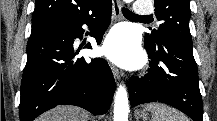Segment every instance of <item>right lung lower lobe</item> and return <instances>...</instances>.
Wrapping results in <instances>:
<instances>
[{
	"mask_svg": "<svg viewBox=\"0 0 217 121\" xmlns=\"http://www.w3.org/2000/svg\"><path fill=\"white\" fill-rule=\"evenodd\" d=\"M112 2L98 12L65 26L30 36L27 63L21 82L20 121H33L43 112L63 104L80 106L95 115L110 107L116 88L105 59H75L73 42L82 38L83 24L92 28L98 44L110 23ZM85 48L91 49L87 44Z\"/></svg>",
	"mask_w": 217,
	"mask_h": 121,
	"instance_id": "1",
	"label": "right lung lower lobe"
}]
</instances>
